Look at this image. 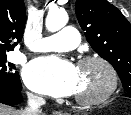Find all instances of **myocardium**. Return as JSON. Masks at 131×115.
<instances>
[{"label":"myocardium","instance_id":"1","mask_svg":"<svg viewBox=\"0 0 131 115\" xmlns=\"http://www.w3.org/2000/svg\"><path fill=\"white\" fill-rule=\"evenodd\" d=\"M88 63H97L101 65L108 74V84L106 88L91 97H83V96H75L74 100L81 105L90 106V105H97L104 101H106L108 98H110L114 92L116 91L118 87V74L115 69V67L104 57L100 55H88L83 58H81L78 61V67H81Z\"/></svg>","mask_w":131,"mask_h":115}]
</instances>
